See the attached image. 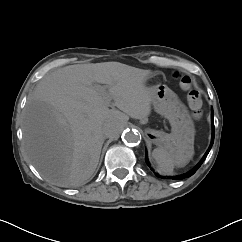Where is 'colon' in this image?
<instances>
[{
  "label": "colon",
  "instance_id": "obj_1",
  "mask_svg": "<svg viewBox=\"0 0 242 242\" xmlns=\"http://www.w3.org/2000/svg\"><path fill=\"white\" fill-rule=\"evenodd\" d=\"M175 76L179 79L181 87L188 91L187 101L193 117L200 118L202 114L203 101L200 93L192 88L193 81L191 77L179 73H176Z\"/></svg>",
  "mask_w": 242,
  "mask_h": 242
}]
</instances>
